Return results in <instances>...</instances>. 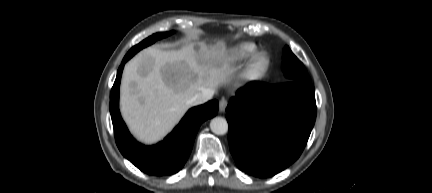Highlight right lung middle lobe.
<instances>
[{
  "label": "right lung middle lobe",
  "mask_w": 432,
  "mask_h": 193,
  "mask_svg": "<svg viewBox=\"0 0 432 193\" xmlns=\"http://www.w3.org/2000/svg\"><path fill=\"white\" fill-rule=\"evenodd\" d=\"M172 33L173 32H165V33H156V34H153L152 36H150L147 39L143 40L142 42H140L136 46L132 47L129 50V52L126 54V56H128L129 58H131L133 55H135L142 48H144L146 46H149V45L153 44L156 40H159L161 38L167 37V36H169Z\"/></svg>",
  "instance_id": "1"
}]
</instances>
